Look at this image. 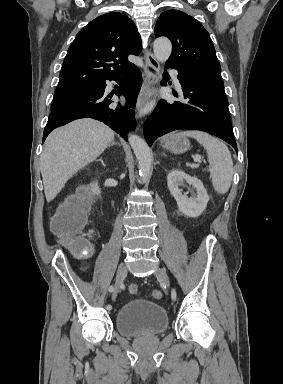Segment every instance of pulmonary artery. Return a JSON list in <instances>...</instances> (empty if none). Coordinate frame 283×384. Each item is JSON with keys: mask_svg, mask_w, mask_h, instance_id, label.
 I'll return each instance as SVG.
<instances>
[{"mask_svg": "<svg viewBox=\"0 0 283 384\" xmlns=\"http://www.w3.org/2000/svg\"><path fill=\"white\" fill-rule=\"evenodd\" d=\"M171 74L174 72L172 69L169 71ZM173 76H177V73H174ZM177 88H181L180 83H175ZM111 84L107 83V87L110 88Z\"/></svg>", "mask_w": 283, "mask_h": 384, "instance_id": "1", "label": "pulmonary artery"}]
</instances>
